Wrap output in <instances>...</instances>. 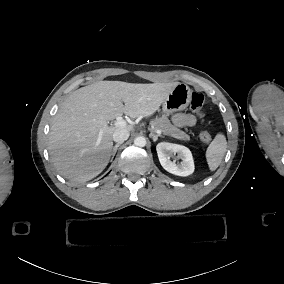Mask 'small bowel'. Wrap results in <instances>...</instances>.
<instances>
[{
  "label": "small bowel",
  "mask_w": 284,
  "mask_h": 284,
  "mask_svg": "<svg viewBox=\"0 0 284 284\" xmlns=\"http://www.w3.org/2000/svg\"><path fill=\"white\" fill-rule=\"evenodd\" d=\"M172 122L179 127L194 126L197 119L194 115L189 113H177L172 116Z\"/></svg>",
  "instance_id": "1"
}]
</instances>
